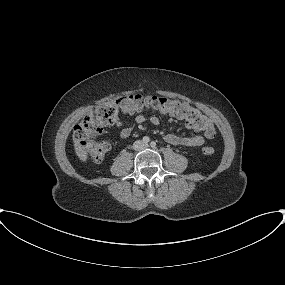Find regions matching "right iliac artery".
<instances>
[{
    "label": "right iliac artery",
    "instance_id": "1",
    "mask_svg": "<svg viewBox=\"0 0 285 285\" xmlns=\"http://www.w3.org/2000/svg\"><path fill=\"white\" fill-rule=\"evenodd\" d=\"M142 141H143V143L148 144L150 142V138L145 136V137H143Z\"/></svg>",
    "mask_w": 285,
    "mask_h": 285
}]
</instances>
